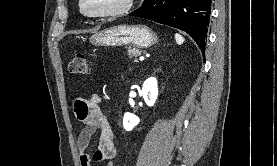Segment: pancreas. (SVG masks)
Returning <instances> with one entry per match:
<instances>
[{
  "label": "pancreas",
  "mask_w": 277,
  "mask_h": 166,
  "mask_svg": "<svg viewBox=\"0 0 277 166\" xmlns=\"http://www.w3.org/2000/svg\"><path fill=\"white\" fill-rule=\"evenodd\" d=\"M142 53L141 50L136 49V48H128V57L129 59L136 58L138 55Z\"/></svg>",
  "instance_id": "pancreas-1"
}]
</instances>
